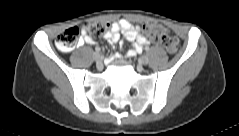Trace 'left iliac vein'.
Wrapping results in <instances>:
<instances>
[{"mask_svg":"<svg viewBox=\"0 0 239 136\" xmlns=\"http://www.w3.org/2000/svg\"><path fill=\"white\" fill-rule=\"evenodd\" d=\"M149 62V58L147 56H142L140 59H139V63L142 64V65H146L148 64Z\"/></svg>","mask_w":239,"mask_h":136,"instance_id":"1","label":"left iliac vein"}]
</instances>
